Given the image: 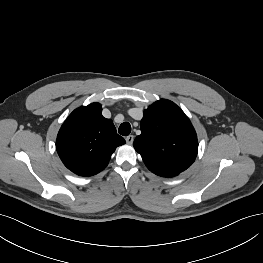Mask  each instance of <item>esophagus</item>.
Here are the masks:
<instances>
[{"mask_svg": "<svg viewBox=\"0 0 263 263\" xmlns=\"http://www.w3.org/2000/svg\"><path fill=\"white\" fill-rule=\"evenodd\" d=\"M125 140H126V143H127L128 145H131V144L133 143V141H134V136H133V135H129V136H127V137L125 138Z\"/></svg>", "mask_w": 263, "mask_h": 263, "instance_id": "1", "label": "esophagus"}]
</instances>
